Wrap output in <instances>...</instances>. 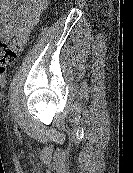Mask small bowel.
I'll use <instances>...</instances> for the list:
<instances>
[{"label":"small bowel","mask_w":133,"mask_h":173,"mask_svg":"<svg viewBox=\"0 0 133 173\" xmlns=\"http://www.w3.org/2000/svg\"><path fill=\"white\" fill-rule=\"evenodd\" d=\"M18 2L19 0L0 1V39L13 40L20 50L27 43L47 0H22L20 6L14 7Z\"/></svg>","instance_id":"obj_1"}]
</instances>
